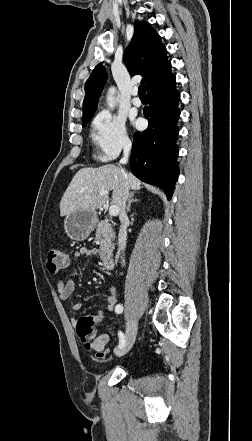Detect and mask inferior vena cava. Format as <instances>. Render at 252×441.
<instances>
[{
	"instance_id": "1",
	"label": "inferior vena cava",
	"mask_w": 252,
	"mask_h": 441,
	"mask_svg": "<svg viewBox=\"0 0 252 441\" xmlns=\"http://www.w3.org/2000/svg\"><path fill=\"white\" fill-rule=\"evenodd\" d=\"M131 151V147L130 146H126L124 148V155L123 158L120 160L121 164H126L128 162V157ZM121 171L124 173V170L121 169ZM129 189H128V184L127 182H125L124 184V189H123V196H122V204H121V210H120V229H119V234H118V256H120L125 248H126V243H127V223H128V217L125 211V204L127 199L129 198ZM122 264H125V260L122 258Z\"/></svg>"
}]
</instances>
